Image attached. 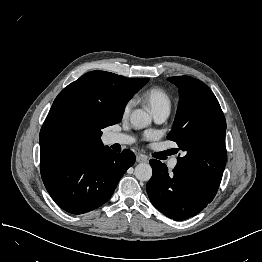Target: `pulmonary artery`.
<instances>
[{"mask_svg": "<svg viewBox=\"0 0 262 262\" xmlns=\"http://www.w3.org/2000/svg\"><path fill=\"white\" fill-rule=\"evenodd\" d=\"M153 114H154L155 121L158 123H162L168 118L170 114V109L163 108V109L155 111ZM133 141L134 139L132 136L128 134H124V133L114 132L108 135L109 144L128 145V144H131ZM176 163H177V160L174 159L173 161L169 163V167L174 168L176 166Z\"/></svg>", "mask_w": 262, "mask_h": 262, "instance_id": "pulmonary-artery-1", "label": "pulmonary artery"}]
</instances>
